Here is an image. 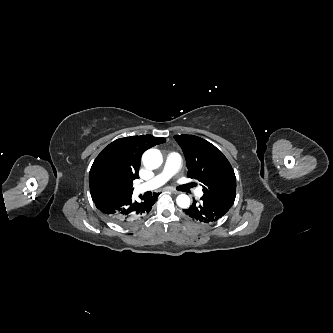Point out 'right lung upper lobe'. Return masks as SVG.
<instances>
[{"instance_id":"1","label":"right lung upper lobe","mask_w":333,"mask_h":333,"mask_svg":"<svg viewBox=\"0 0 333 333\" xmlns=\"http://www.w3.org/2000/svg\"><path fill=\"white\" fill-rule=\"evenodd\" d=\"M162 137L152 135L132 136L120 138L107 147L94 160L89 173L91 196L109 192L103 182V175L108 171L119 174L131 183L138 178L141 155L144 151L157 144L164 143Z\"/></svg>"}]
</instances>
